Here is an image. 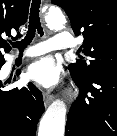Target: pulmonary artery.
Returning a JSON list of instances; mask_svg holds the SVG:
<instances>
[{
  "mask_svg": "<svg viewBox=\"0 0 117 136\" xmlns=\"http://www.w3.org/2000/svg\"><path fill=\"white\" fill-rule=\"evenodd\" d=\"M74 46V38L71 32H58L54 38L41 41L30 47L23 53V57H35L43 55L52 50L70 49Z\"/></svg>",
  "mask_w": 117,
  "mask_h": 136,
  "instance_id": "pulmonary-artery-1",
  "label": "pulmonary artery"
}]
</instances>
